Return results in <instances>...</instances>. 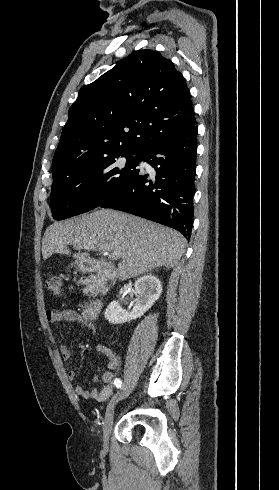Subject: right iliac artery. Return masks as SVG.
<instances>
[{
	"mask_svg": "<svg viewBox=\"0 0 279 490\" xmlns=\"http://www.w3.org/2000/svg\"><path fill=\"white\" fill-rule=\"evenodd\" d=\"M114 384L116 385L117 388H121L122 382H121V378L119 376H116L114 378Z\"/></svg>",
	"mask_w": 279,
	"mask_h": 490,
	"instance_id": "obj_1",
	"label": "right iliac artery"
}]
</instances>
